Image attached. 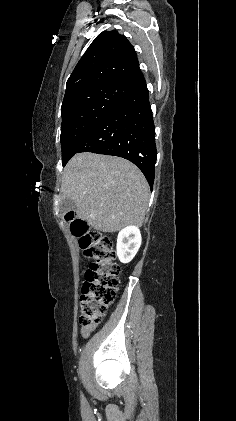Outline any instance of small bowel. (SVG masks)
<instances>
[{
    "label": "small bowel",
    "instance_id": "obj_1",
    "mask_svg": "<svg viewBox=\"0 0 236 421\" xmlns=\"http://www.w3.org/2000/svg\"><path fill=\"white\" fill-rule=\"evenodd\" d=\"M82 334H83V336H87L89 334V330H83Z\"/></svg>",
    "mask_w": 236,
    "mask_h": 421
}]
</instances>
